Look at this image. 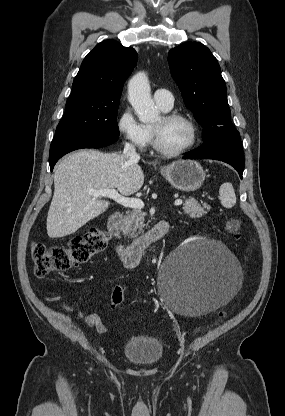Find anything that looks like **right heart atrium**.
<instances>
[{
	"mask_svg": "<svg viewBox=\"0 0 285 416\" xmlns=\"http://www.w3.org/2000/svg\"><path fill=\"white\" fill-rule=\"evenodd\" d=\"M118 130L126 142L139 150L146 149L150 144L151 134L148 127L136 118L129 106L120 112Z\"/></svg>",
	"mask_w": 285,
	"mask_h": 416,
	"instance_id": "obj_1",
	"label": "right heart atrium"
}]
</instances>
